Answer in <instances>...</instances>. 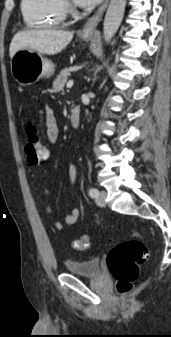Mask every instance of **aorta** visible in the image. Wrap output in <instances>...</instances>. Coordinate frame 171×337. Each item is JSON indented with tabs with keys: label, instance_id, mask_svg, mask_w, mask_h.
Listing matches in <instances>:
<instances>
[{
	"label": "aorta",
	"instance_id": "aorta-1",
	"mask_svg": "<svg viewBox=\"0 0 171 337\" xmlns=\"http://www.w3.org/2000/svg\"><path fill=\"white\" fill-rule=\"evenodd\" d=\"M126 7V0H111L106 11L103 34L107 43L111 41L115 33L117 32Z\"/></svg>",
	"mask_w": 171,
	"mask_h": 337
}]
</instances>
